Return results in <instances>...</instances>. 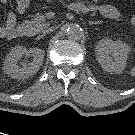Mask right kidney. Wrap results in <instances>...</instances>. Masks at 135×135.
I'll return each mask as SVG.
<instances>
[{
  "instance_id": "1",
  "label": "right kidney",
  "mask_w": 135,
  "mask_h": 135,
  "mask_svg": "<svg viewBox=\"0 0 135 135\" xmlns=\"http://www.w3.org/2000/svg\"><path fill=\"white\" fill-rule=\"evenodd\" d=\"M24 56H31L33 61L30 64H18L19 60ZM44 59V51L38 48L27 50L23 46H17L11 50L4 62V71L10 77L15 79H26L37 73Z\"/></svg>"
}]
</instances>
